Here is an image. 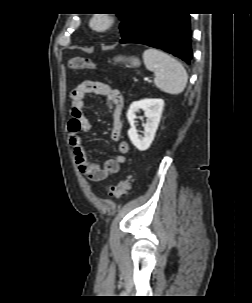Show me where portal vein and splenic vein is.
I'll list each match as a JSON object with an SVG mask.
<instances>
[{
    "label": "portal vein and splenic vein",
    "mask_w": 252,
    "mask_h": 303,
    "mask_svg": "<svg viewBox=\"0 0 252 303\" xmlns=\"http://www.w3.org/2000/svg\"><path fill=\"white\" fill-rule=\"evenodd\" d=\"M144 80H145V81H148L149 79H148V78H144Z\"/></svg>",
    "instance_id": "obj_1"
}]
</instances>
